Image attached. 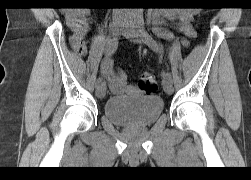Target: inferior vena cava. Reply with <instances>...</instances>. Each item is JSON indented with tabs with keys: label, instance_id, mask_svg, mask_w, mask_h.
Returning a JSON list of instances; mask_svg holds the SVG:
<instances>
[{
	"label": "inferior vena cava",
	"instance_id": "inferior-vena-cava-1",
	"mask_svg": "<svg viewBox=\"0 0 251 180\" xmlns=\"http://www.w3.org/2000/svg\"><path fill=\"white\" fill-rule=\"evenodd\" d=\"M119 14L122 16V17H125L126 16V10L125 9H122L120 10L119 8H114L113 10V15H114V18L117 19Z\"/></svg>",
	"mask_w": 251,
	"mask_h": 180
}]
</instances>
